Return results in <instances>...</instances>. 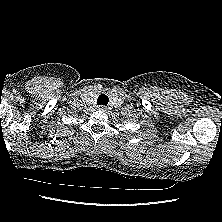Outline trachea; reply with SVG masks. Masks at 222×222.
<instances>
[{
    "mask_svg": "<svg viewBox=\"0 0 222 222\" xmlns=\"http://www.w3.org/2000/svg\"><path fill=\"white\" fill-rule=\"evenodd\" d=\"M108 102H109V98H108L107 95H105V94L99 95V97H98V99H97V103H98L99 105H107Z\"/></svg>",
    "mask_w": 222,
    "mask_h": 222,
    "instance_id": "3493384b",
    "label": "trachea"
}]
</instances>
